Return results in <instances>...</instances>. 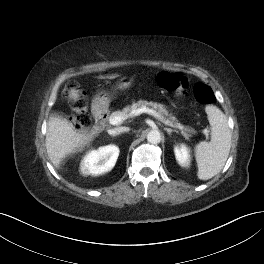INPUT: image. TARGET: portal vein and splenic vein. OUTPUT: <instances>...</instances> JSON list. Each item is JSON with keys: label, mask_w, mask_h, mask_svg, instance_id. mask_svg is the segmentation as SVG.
Instances as JSON below:
<instances>
[{"label": "portal vein and splenic vein", "mask_w": 264, "mask_h": 264, "mask_svg": "<svg viewBox=\"0 0 264 264\" xmlns=\"http://www.w3.org/2000/svg\"><path fill=\"white\" fill-rule=\"evenodd\" d=\"M142 113H147L149 115L154 116L155 118H157L159 121H161L163 124L171 126V127H176L179 128L182 131H187V132H193L192 129L184 127L182 125H178V126H174L171 123H169L168 120H165L161 115H159V113H157L155 110L150 109V108H146V107H142L140 109L134 110L132 111L129 115H118V116H111L109 118V123L111 125H119L121 124L125 119H127V117H133V116H138ZM203 133L207 136L208 135V130H203Z\"/></svg>", "instance_id": "1"}]
</instances>
